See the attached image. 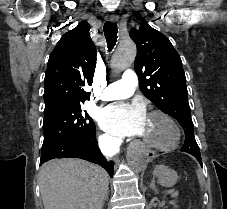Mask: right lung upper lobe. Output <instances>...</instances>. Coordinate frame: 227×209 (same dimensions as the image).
Here are the masks:
<instances>
[{"mask_svg":"<svg viewBox=\"0 0 227 209\" xmlns=\"http://www.w3.org/2000/svg\"><path fill=\"white\" fill-rule=\"evenodd\" d=\"M89 30L90 25L84 20L58 41L45 73V102L53 98H90V92L83 89L92 84L96 67V48Z\"/></svg>","mask_w":227,"mask_h":209,"instance_id":"right-lung-upper-lobe-1","label":"right lung upper lobe"}]
</instances>
